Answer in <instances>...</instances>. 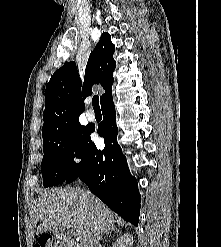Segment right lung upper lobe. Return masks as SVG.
<instances>
[{
    "mask_svg": "<svg viewBox=\"0 0 221 247\" xmlns=\"http://www.w3.org/2000/svg\"><path fill=\"white\" fill-rule=\"evenodd\" d=\"M114 50L110 34L103 33L89 56L83 85L73 61L52 75L45 90L43 138L79 122L78 118L85 108L83 98L92 94L94 84H100L106 90L100 96L101 105L112 98L113 71L116 66Z\"/></svg>",
    "mask_w": 221,
    "mask_h": 247,
    "instance_id": "right-lung-upper-lobe-1",
    "label": "right lung upper lobe"
}]
</instances>
